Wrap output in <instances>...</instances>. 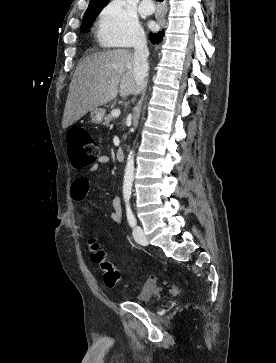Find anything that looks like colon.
Returning a JSON list of instances; mask_svg holds the SVG:
<instances>
[{"mask_svg":"<svg viewBox=\"0 0 276 363\" xmlns=\"http://www.w3.org/2000/svg\"><path fill=\"white\" fill-rule=\"evenodd\" d=\"M68 154L72 164L84 168L94 163L99 157V145L83 128H72L67 137ZM88 244L92 251L91 259L104 271V283L108 288L115 287L121 278L120 271L109 260L105 249L101 248L94 237H89ZM153 284V280L150 282Z\"/></svg>","mask_w":276,"mask_h":363,"instance_id":"obj_1","label":"colon"}]
</instances>
